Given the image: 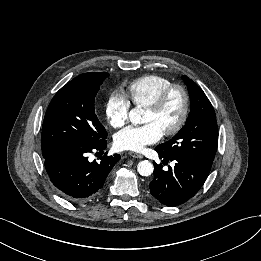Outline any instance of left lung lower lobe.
Returning <instances> with one entry per match:
<instances>
[{
  "label": "left lung lower lobe",
  "instance_id": "1",
  "mask_svg": "<svg viewBox=\"0 0 261 261\" xmlns=\"http://www.w3.org/2000/svg\"><path fill=\"white\" fill-rule=\"evenodd\" d=\"M163 161H175L174 168L164 171L154 163V178L149 184L150 193L161 204L177 206L192 198L202 187L209 172L190 164L185 158L166 157L156 150Z\"/></svg>",
  "mask_w": 261,
  "mask_h": 261
}]
</instances>
